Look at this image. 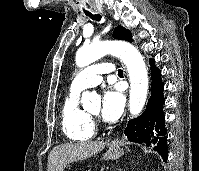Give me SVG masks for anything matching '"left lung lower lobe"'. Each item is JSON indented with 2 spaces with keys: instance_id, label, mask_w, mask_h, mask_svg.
I'll list each match as a JSON object with an SVG mask.
<instances>
[{
  "instance_id": "left-lung-lower-lobe-1",
  "label": "left lung lower lobe",
  "mask_w": 199,
  "mask_h": 171,
  "mask_svg": "<svg viewBox=\"0 0 199 171\" xmlns=\"http://www.w3.org/2000/svg\"><path fill=\"white\" fill-rule=\"evenodd\" d=\"M152 72L151 96L145 112L128 122L124 131L127 139L132 142L154 145L157 151L166 160L168 157L167 136L165 128V116L163 104L164 84L161 80V72L154 66V60H150Z\"/></svg>"
}]
</instances>
